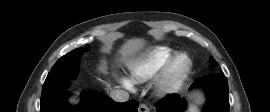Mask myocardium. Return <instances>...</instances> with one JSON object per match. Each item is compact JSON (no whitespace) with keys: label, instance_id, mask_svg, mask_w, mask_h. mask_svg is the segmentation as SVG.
Masks as SVG:
<instances>
[{"label":"myocardium","instance_id":"1","mask_svg":"<svg viewBox=\"0 0 270 112\" xmlns=\"http://www.w3.org/2000/svg\"><path fill=\"white\" fill-rule=\"evenodd\" d=\"M185 57L186 66L179 72L174 73L173 67L178 58ZM193 68V60L185 51L174 52L164 63L162 68L154 76L152 87L158 97L167 96L175 92L187 79Z\"/></svg>","mask_w":270,"mask_h":112}]
</instances>
